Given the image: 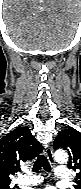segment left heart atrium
Instances as JSON below:
<instances>
[{"instance_id": "obj_1", "label": "left heart atrium", "mask_w": 81, "mask_h": 189, "mask_svg": "<svg viewBox=\"0 0 81 189\" xmlns=\"http://www.w3.org/2000/svg\"><path fill=\"white\" fill-rule=\"evenodd\" d=\"M44 189H56V188H55V187L50 186V187H46V188H44Z\"/></svg>"}]
</instances>
